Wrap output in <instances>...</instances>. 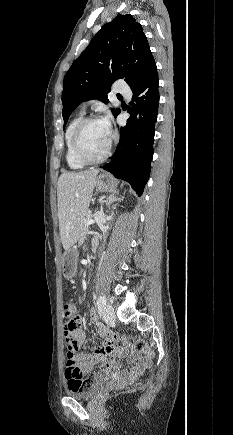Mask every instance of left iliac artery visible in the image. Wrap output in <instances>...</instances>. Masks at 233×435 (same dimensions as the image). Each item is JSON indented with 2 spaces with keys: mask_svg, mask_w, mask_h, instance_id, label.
Segmentation results:
<instances>
[{
  "mask_svg": "<svg viewBox=\"0 0 233 435\" xmlns=\"http://www.w3.org/2000/svg\"><path fill=\"white\" fill-rule=\"evenodd\" d=\"M106 304L105 296H100L97 300L98 307H103Z\"/></svg>",
  "mask_w": 233,
  "mask_h": 435,
  "instance_id": "left-iliac-artery-1",
  "label": "left iliac artery"
}]
</instances>
